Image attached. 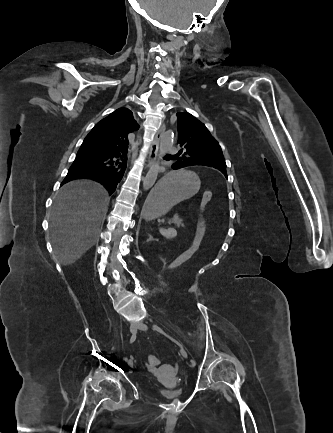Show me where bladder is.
<instances>
[{
  "label": "bladder",
  "mask_w": 333,
  "mask_h": 433,
  "mask_svg": "<svg viewBox=\"0 0 333 433\" xmlns=\"http://www.w3.org/2000/svg\"><path fill=\"white\" fill-rule=\"evenodd\" d=\"M158 394L161 398L165 400H175L181 398L184 395V392L181 388H176V389L163 388L158 391Z\"/></svg>",
  "instance_id": "31cf9c89"
}]
</instances>
